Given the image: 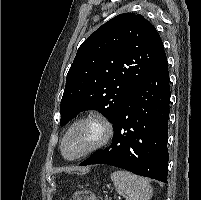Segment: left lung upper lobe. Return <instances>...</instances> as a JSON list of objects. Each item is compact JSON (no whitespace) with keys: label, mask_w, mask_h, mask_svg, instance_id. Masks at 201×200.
<instances>
[{"label":"left lung upper lobe","mask_w":201,"mask_h":200,"mask_svg":"<svg viewBox=\"0 0 201 200\" xmlns=\"http://www.w3.org/2000/svg\"><path fill=\"white\" fill-rule=\"evenodd\" d=\"M165 54L155 27L142 15L120 14L79 47L66 77L61 126L94 109L111 122L119 107Z\"/></svg>","instance_id":"5c2ea615"}]
</instances>
